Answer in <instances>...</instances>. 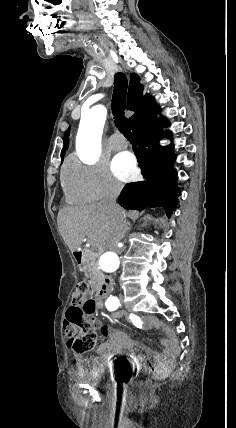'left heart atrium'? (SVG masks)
I'll return each instance as SVG.
<instances>
[{
	"instance_id": "obj_1",
	"label": "left heart atrium",
	"mask_w": 236,
	"mask_h": 428,
	"mask_svg": "<svg viewBox=\"0 0 236 428\" xmlns=\"http://www.w3.org/2000/svg\"><path fill=\"white\" fill-rule=\"evenodd\" d=\"M111 169L113 175L123 181H130L136 175L135 160L129 153H123L115 157Z\"/></svg>"
}]
</instances>
